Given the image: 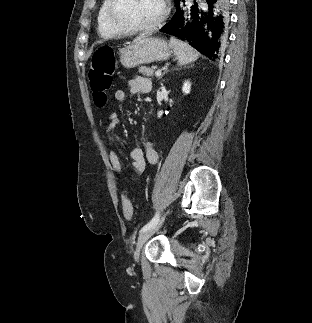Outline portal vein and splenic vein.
Listing matches in <instances>:
<instances>
[{"instance_id": "1", "label": "portal vein and splenic vein", "mask_w": 312, "mask_h": 323, "mask_svg": "<svg viewBox=\"0 0 312 323\" xmlns=\"http://www.w3.org/2000/svg\"><path fill=\"white\" fill-rule=\"evenodd\" d=\"M156 76H161V72L160 70H157V72H155Z\"/></svg>"}]
</instances>
